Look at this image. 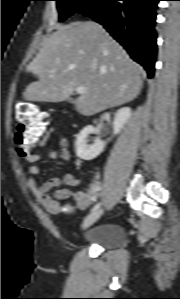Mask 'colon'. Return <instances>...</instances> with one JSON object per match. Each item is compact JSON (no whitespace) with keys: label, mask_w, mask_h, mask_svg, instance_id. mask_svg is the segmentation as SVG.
<instances>
[{"label":"colon","mask_w":180,"mask_h":299,"mask_svg":"<svg viewBox=\"0 0 180 299\" xmlns=\"http://www.w3.org/2000/svg\"><path fill=\"white\" fill-rule=\"evenodd\" d=\"M14 118L17 123L15 143L18 151L21 156L30 155L36 140L48 124L47 114L37 105L23 102L16 108Z\"/></svg>","instance_id":"5ec220e1"}]
</instances>
